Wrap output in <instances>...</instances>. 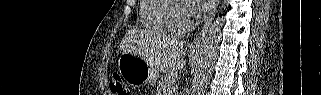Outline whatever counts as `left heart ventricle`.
<instances>
[{"instance_id": "b2bd125f", "label": "left heart ventricle", "mask_w": 321, "mask_h": 95, "mask_svg": "<svg viewBox=\"0 0 321 95\" xmlns=\"http://www.w3.org/2000/svg\"><path fill=\"white\" fill-rule=\"evenodd\" d=\"M180 12V16L184 19V20H189L191 19V17L187 14L186 10L184 8H180L179 9Z\"/></svg>"}]
</instances>
